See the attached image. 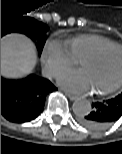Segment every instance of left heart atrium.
<instances>
[{
	"label": "left heart atrium",
	"instance_id": "39dd6f15",
	"mask_svg": "<svg viewBox=\"0 0 122 154\" xmlns=\"http://www.w3.org/2000/svg\"><path fill=\"white\" fill-rule=\"evenodd\" d=\"M57 80L63 88L73 93L85 94L91 91L81 70L64 72L58 76Z\"/></svg>",
	"mask_w": 122,
	"mask_h": 154
}]
</instances>
